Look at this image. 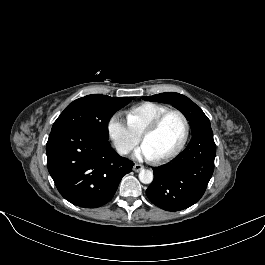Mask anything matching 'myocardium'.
Here are the masks:
<instances>
[{"label":"myocardium","instance_id":"myocardium-1","mask_svg":"<svg viewBox=\"0 0 265 265\" xmlns=\"http://www.w3.org/2000/svg\"><path fill=\"white\" fill-rule=\"evenodd\" d=\"M172 114L179 115L182 118V120H183V123H184V135H183V138H182L181 142L179 143V145L175 149H173L172 151H170V152H168L166 154L154 157L153 158L154 161L162 162V161H166V160H169V159L177 156L184 149V147L187 144V141L189 139L190 122H189L187 116L180 110L169 109V110L165 111L164 113L160 114L158 117H156L151 123H149L145 127V129L140 134L141 141L144 142L145 137L150 135V134H152V133H154L160 127L161 123L169 115H172Z\"/></svg>","mask_w":265,"mask_h":265}]
</instances>
